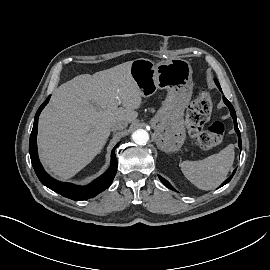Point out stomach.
Segmentation results:
<instances>
[{
  "label": "stomach",
  "mask_w": 270,
  "mask_h": 270,
  "mask_svg": "<svg viewBox=\"0 0 270 270\" xmlns=\"http://www.w3.org/2000/svg\"><path fill=\"white\" fill-rule=\"evenodd\" d=\"M131 76L142 96L149 97L157 89L167 96L152 119L156 143L164 152H175L185 141L184 110L192 96V68L187 60L172 58L155 63L139 58L132 61Z\"/></svg>",
  "instance_id": "1"
}]
</instances>
